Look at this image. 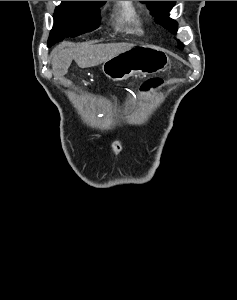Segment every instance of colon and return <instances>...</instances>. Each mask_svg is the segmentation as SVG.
<instances>
[{
    "instance_id": "colon-1",
    "label": "colon",
    "mask_w": 237,
    "mask_h": 300,
    "mask_svg": "<svg viewBox=\"0 0 237 300\" xmlns=\"http://www.w3.org/2000/svg\"><path fill=\"white\" fill-rule=\"evenodd\" d=\"M163 81L159 78H152L145 81L141 86L142 92H148L152 89H156L162 85Z\"/></svg>"
}]
</instances>
